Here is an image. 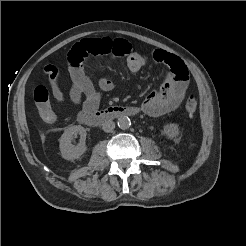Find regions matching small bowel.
<instances>
[{
    "label": "small bowel",
    "mask_w": 246,
    "mask_h": 246,
    "mask_svg": "<svg viewBox=\"0 0 246 246\" xmlns=\"http://www.w3.org/2000/svg\"><path fill=\"white\" fill-rule=\"evenodd\" d=\"M92 56H107L109 59L125 57L128 69L137 73L148 62L133 51L131 44L123 39H85L77 43L68 54L71 89L69 97L83 111H95L100 104L101 93L111 91L113 83L107 78H100L95 85L86 73L87 59ZM152 58L166 66L163 83L159 90L149 93L140 105V110L150 116L158 117L174 111L184 99L189 77L185 63L176 55L164 50H155ZM49 75L53 96L59 102L64 101V94L58 83L59 70L54 65L45 67Z\"/></svg>",
    "instance_id": "c3829d8e"
}]
</instances>
